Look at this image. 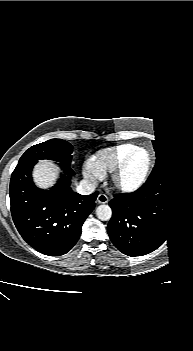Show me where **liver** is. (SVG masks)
Segmentation results:
<instances>
[{
  "label": "liver",
  "instance_id": "1",
  "mask_svg": "<svg viewBox=\"0 0 193 351\" xmlns=\"http://www.w3.org/2000/svg\"><path fill=\"white\" fill-rule=\"evenodd\" d=\"M58 170L59 168L52 161H40L33 169V179L40 188H50L58 179Z\"/></svg>",
  "mask_w": 193,
  "mask_h": 351
}]
</instances>
